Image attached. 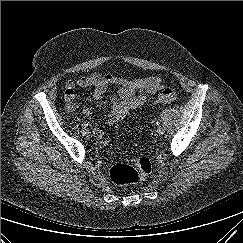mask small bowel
<instances>
[{"label": "small bowel", "mask_w": 243, "mask_h": 243, "mask_svg": "<svg viewBox=\"0 0 243 243\" xmlns=\"http://www.w3.org/2000/svg\"><path fill=\"white\" fill-rule=\"evenodd\" d=\"M111 86L118 87V91L116 94L110 96L112 107L107 115V120L109 124H115L127 116L130 111L144 105L147 96L161 90L163 88V83L161 79L156 76L125 79L108 73L94 72L76 80H69L66 82L65 101L68 109L70 111H75L78 108L75 101V92L77 88L93 87V98L95 100H100ZM82 113L84 116L89 117L92 115V109L85 107ZM93 133L99 145L106 144L103 132L99 127H94Z\"/></svg>", "instance_id": "1"}]
</instances>
